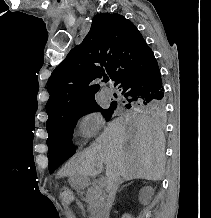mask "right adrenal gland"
Returning <instances> with one entry per match:
<instances>
[{"mask_svg":"<svg viewBox=\"0 0 211 218\" xmlns=\"http://www.w3.org/2000/svg\"><path fill=\"white\" fill-rule=\"evenodd\" d=\"M126 186H127V184H126ZM122 188H124V186H122ZM122 188H121V190H122ZM121 190H117V192H121Z\"/></svg>","mask_w":211,"mask_h":218,"instance_id":"2a0ac1e0","label":"right adrenal gland"}]
</instances>
